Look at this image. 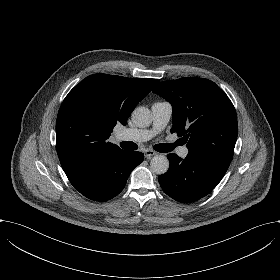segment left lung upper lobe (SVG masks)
<instances>
[{
    "mask_svg": "<svg viewBox=\"0 0 280 280\" xmlns=\"http://www.w3.org/2000/svg\"><path fill=\"white\" fill-rule=\"evenodd\" d=\"M153 92L171 103V132L187 142L189 154L231 162L237 140L236 111L214 82L185 77L163 81Z\"/></svg>",
    "mask_w": 280,
    "mask_h": 280,
    "instance_id": "1",
    "label": "left lung upper lobe"
}]
</instances>
